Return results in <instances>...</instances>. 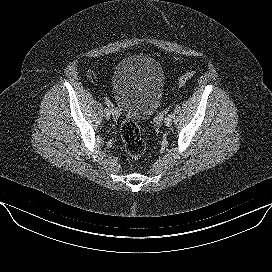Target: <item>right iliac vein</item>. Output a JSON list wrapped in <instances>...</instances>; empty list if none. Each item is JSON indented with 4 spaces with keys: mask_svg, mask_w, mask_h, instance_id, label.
Wrapping results in <instances>:
<instances>
[{
    "mask_svg": "<svg viewBox=\"0 0 272 272\" xmlns=\"http://www.w3.org/2000/svg\"><path fill=\"white\" fill-rule=\"evenodd\" d=\"M104 117H105V119H110V117H111V113H110V111L108 110V113L107 114H104Z\"/></svg>",
    "mask_w": 272,
    "mask_h": 272,
    "instance_id": "1",
    "label": "right iliac vein"
}]
</instances>
